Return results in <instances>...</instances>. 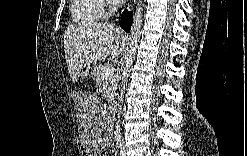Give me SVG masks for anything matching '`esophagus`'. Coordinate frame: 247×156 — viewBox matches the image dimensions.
Here are the masks:
<instances>
[{
    "mask_svg": "<svg viewBox=\"0 0 247 156\" xmlns=\"http://www.w3.org/2000/svg\"><path fill=\"white\" fill-rule=\"evenodd\" d=\"M135 0H130L128 5H127V9L128 10H131L133 8V6L135 5Z\"/></svg>",
    "mask_w": 247,
    "mask_h": 156,
    "instance_id": "34e87169",
    "label": "esophagus"
}]
</instances>
